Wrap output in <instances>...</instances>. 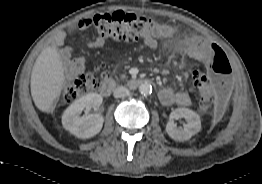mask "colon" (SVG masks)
<instances>
[{
  "label": "colon",
  "instance_id": "1",
  "mask_svg": "<svg viewBox=\"0 0 262 184\" xmlns=\"http://www.w3.org/2000/svg\"><path fill=\"white\" fill-rule=\"evenodd\" d=\"M80 28L95 27L100 36L117 41L131 42L150 34L159 25L150 17L116 11L82 18ZM210 68L214 73L208 80L202 73L193 75L194 88L198 95L199 106L203 111H214L220 118L228 104L232 83L231 65L224 51L217 45H210ZM107 77V72L100 67L78 75L68 83L63 92L64 102L71 103L82 96L98 89Z\"/></svg>",
  "mask_w": 262,
  "mask_h": 184
}]
</instances>
